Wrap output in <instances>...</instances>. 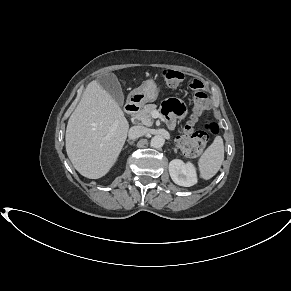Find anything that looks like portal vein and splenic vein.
<instances>
[{"label":"portal vein and splenic vein","mask_w":291,"mask_h":291,"mask_svg":"<svg viewBox=\"0 0 291 291\" xmlns=\"http://www.w3.org/2000/svg\"><path fill=\"white\" fill-rule=\"evenodd\" d=\"M158 112L157 111H154L153 113H152V116H153V118H157L158 117Z\"/></svg>","instance_id":"obj_1"}]
</instances>
